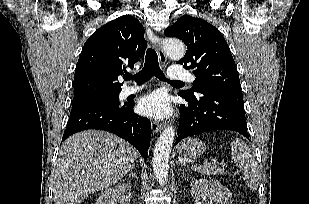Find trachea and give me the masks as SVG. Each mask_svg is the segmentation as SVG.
Instances as JSON below:
<instances>
[{
	"instance_id": "obj_1",
	"label": "trachea",
	"mask_w": 309,
	"mask_h": 204,
	"mask_svg": "<svg viewBox=\"0 0 309 204\" xmlns=\"http://www.w3.org/2000/svg\"><path fill=\"white\" fill-rule=\"evenodd\" d=\"M152 76L160 79L161 81H166L171 84H183L181 81H170L169 79L165 78V75L161 71L158 63V56L154 49L149 48L146 52L145 63L143 69L137 73L134 78L137 83H141L147 81ZM126 80L131 79V75L126 74L124 76Z\"/></svg>"
}]
</instances>
